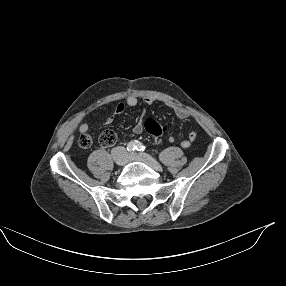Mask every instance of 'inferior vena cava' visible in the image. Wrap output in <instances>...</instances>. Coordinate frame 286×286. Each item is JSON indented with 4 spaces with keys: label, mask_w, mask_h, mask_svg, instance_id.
Segmentation results:
<instances>
[{
    "label": "inferior vena cava",
    "mask_w": 286,
    "mask_h": 286,
    "mask_svg": "<svg viewBox=\"0 0 286 286\" xmlns=\"http://www.w3.org/2000/svg\"><path fill=\"white\" fill-rule=\"evenodd\" d=\"M113 152H114L115 156H117V157L119 155L125 156L127 154V151L124 147H116V148H114Z\"/></svg>",
    "instance_id": "obj_1"
}]
</instances>
